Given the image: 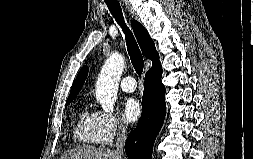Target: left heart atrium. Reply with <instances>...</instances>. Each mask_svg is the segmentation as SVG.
I'll return each mask as SVG.
<instances>
[{
	"label": "left heart atrium",
	"instance_id": "obj_1",
	"mask_svg": "<svg viewBox=\"0 0 253 159\" xmlns=\"http://www.w3.org/2000/svg\"><path fill=\"white\" fill-rule=\"evenodd\" d=\"M123 116L127 122H135L141 113V107L139 103L133 99L128 98L122 105Z\"/></svg>",
	"mask_w": 253,
	"mask_h": 159
}]
</instances>
